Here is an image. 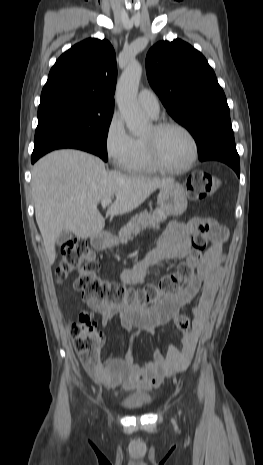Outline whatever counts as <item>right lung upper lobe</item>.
<instances>
[{
	"label": "right lung upper lobe",
	"instance_id": "cb5924a9",
	"mask_svg": "<svg viewBox=\"0 0 263 465\" xmlns=\"http://www.w3.org/2000/svg\"><path fill=\"white\" fill-rule=\"evenodd\" d=\"M116 56L107 40L86 39L63 53L50 70L41 102L69 98L114 107Z\"/></svg>",
	"mask_w": 263,
	"mask_h": 465
}]
</instances>
